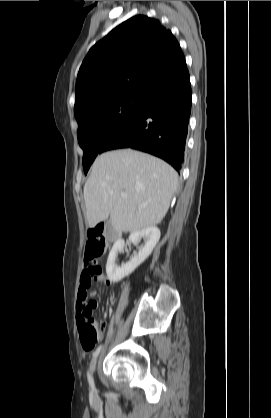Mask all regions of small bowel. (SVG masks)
I'll list each match as a JSON object with an SVG mask.
<instances>
[{
  "label": "small bowel",
  "instance_id": "c3829d8e",
  "mask_svg": "<svg viewBox=\"0 0 271 418\" xmlns=\"http://www.w3.org/2000/svg\"><path fill=\"white\" fill-rule=\"evenodd\" d=\"M87 275H88V263L85 262V265L81 274V278H80V290L78 293V298H79L78 303H77L78 318H79L80 312L82 314H93L94 309L97 307V303L95 299H86V301H84L82 298V294L89 287V285H86L84 282V279ZM96 281L99 282L100 284H107V285L110 284L109 280L104 275H101L100 277H98ZM95 294L96 293L93 292L92 296H94ZM110 297L112 299L113 295H111ZM84 303L85 305H83Z\"/></svg>",
  "mask_w": 271,
  "mask_h": 418
}]
</instances>
